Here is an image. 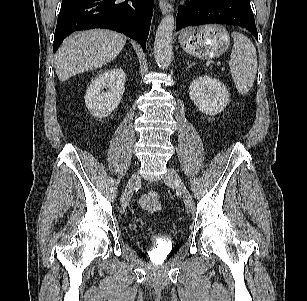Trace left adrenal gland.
I'll return each mask as SVG.
<instances>
[{"label": "left adrenal gland", "instance_id": "left-adrenal-gland-1", "mask_svg": "<svg viewBox=\"0 0 307 301\" xmlns=\"http://www.w3.org/2000/svg\"><path fill=\"white\" fill-rule=\"evenodd\" d=\"M187 65L188 67H191L192 65H194V63H190L189 61H187Z\"/></svg>", "mask_w": 307, "mask_h": 301}]
</instances>
